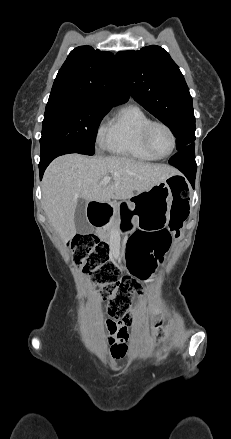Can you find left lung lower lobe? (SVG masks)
Listing matches in <instances>:
<instances>
[{
    "label": "left lung lower lobe",
    "mask_w": 231,
    "mask_h": 439,
    "mask_svg": "<svg viewBox=\"0 0 231 439\" xmlns=\"http://www.w3.org/2000/svg\"><path fill=\"white\" fill-rule=\"evenodd\" d=\"M169 164L179 169L190 181L192 185L195 183L196 162L194 153V143H191L179 150L170 158Z\"/></svg>",
    "instance_id": "0a47b994"
}]
</instances>
